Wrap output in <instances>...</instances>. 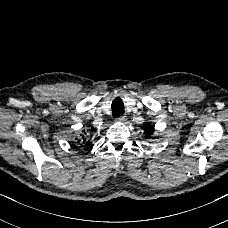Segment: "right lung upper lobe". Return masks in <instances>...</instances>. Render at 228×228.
I'll use <instances>...</instances> for the list:
<instances>
[{
    "instance_id": "1",
    "label": "right lung upper lobe",
    "mask_w": 228,
    "mask_h": 228,
    "mask_svg": "<svg viewBox=\"0 0 228 228\" xmlns=\"http://www.w3.org/2000/svg\"><path fill=\"white\" fill-rule=\"evenodd\" d=\"M78 142H80V140ZM81 143L83 144V148L86 150L92 146V143L89 140H86V138H84Z\"/></svg>"
}]
</instances>
